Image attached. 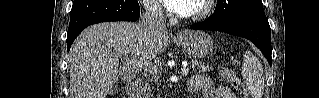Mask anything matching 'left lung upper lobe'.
I'll list each match as a JSON object with an SVG mask.
<instances>
[{
  "label": "left lung upper lobe",
  "instance_id": "obj_1",
  "mask_svg": "<svg viewBox=\"0 0 319 98\" xmlns=\"http://www.w3.org/2000/svg\"><path fill=\"white\" fill-rule=\"evenodd\" d=\"M263 7L261 0H217L214 13L204 20L207 23H218L231 19L244 11Z\"/></svg>",
  "mask_w": 319,
  "mask_h": 98
}]
</instances>
